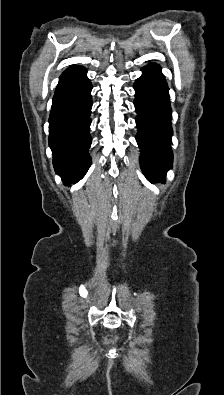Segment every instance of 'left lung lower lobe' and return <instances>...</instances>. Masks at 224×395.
<instances>
[{"mask_svg":"<svg viewBox=\"0 0 224 395\" xmlns=\"http://www.w3.org/2000/svg\"><path fill=\"white\" fill-rule=\"evenodd\" d=\"M160 70L156 64L145 66L134 84L136 140L141 150V167L150 182L165 181L173 159L169 89Z\"/></svg>","mask_w":224,"mask_h":395,"instance_id":"obj_1","label":"left lung lower lobe"}]
</instances>
